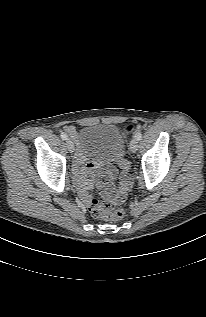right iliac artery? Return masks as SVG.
Masks as SVG:
<instances>
[{"label":"right iliac artery","mask_w":206,"mask_h":317,"mask_svg":"<svg viewBox=\"0 0 206 317\" xmlns=\"http://www.w3.org/2000/svg\"><path fill=\"white\" fill-rule=\"evenodd\" d=\"M60 136H61V138H62L63 140H67V138H68L67 135L64 134V133H62Z\"/></svg>","instance_id":"82829eb1"}]
</instances>
